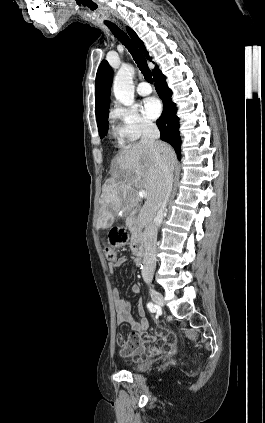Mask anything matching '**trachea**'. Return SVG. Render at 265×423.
Here are the masks:
<instances>
[{"label": "trachea", "mask_w": 265, "mask_h": 423, "mask_svg": "<svg viewBox=\"0 0 265 423\" xmlns=\"http://www.w3.org/2000/svg\"><path fill=\"white\" fill-rule=\"evenodd\" d=\"M105 25L109 27L113 35L128 49V51L134 58L138 68L144 75L145 80L149 83H153L151 71L148 67L147 60L143 53L134 44V42L127 36L125 32L119 29L114 23L105 21Z\"/></svg>", "instance_id": "obj_1"}]
</instances>
